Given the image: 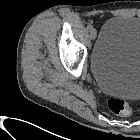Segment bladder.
Masks as SVG:
<instances>
[{"label": "bladder", "mask_w": 140, "mask_h": 140, "mask_svg": "<svg viewBox=\"0 0 140 140\" xmlns=\"http://www.w3.org/2000/svg\"><path fill=\"white\" fill-rule=\"evenodd\" d=\"M90 67L103 91L123 98H139L140 17L109 19L92 49Z\"/></svg>", "instance_id": "obj_1"}]
</instances>
